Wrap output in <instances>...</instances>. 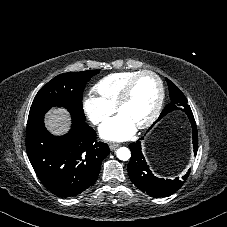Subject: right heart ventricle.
<instances>
[{
    "label": "right heart ventricle",
    "mask_w": 227,
    "mask_h": 227,
    "mask_svg": "<svg viewBox=\"0 0 227 227\" xmlns=\"http://www.w3.org/2000/svg\"><path fill=\"white\" fill-rule=\"evenodd\" d=\"M139 71H121L109 74L96 83L94 93L108 105L115 104L128 81Z\"/></svg>",
    "instance_id": "obj_1"
}]
</instances>
